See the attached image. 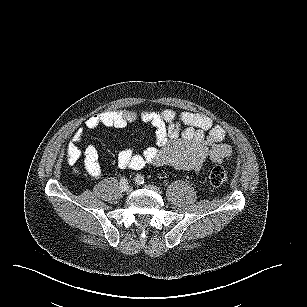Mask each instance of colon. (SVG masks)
I'll use <instances>...</instances> for the list:
<instances>
[{
    "label": "colon",
    "mask_w": 307,
    "mask_h": 307,
    "mask_svg": "<svg viewBox=\"0 0 307 307\" xmlns=\"http://www.w3.org/2000/svg\"><path fill=\"white\" fill-rule=\"evenodd\" d=\"M207 179L213 187H223L228 182V173L223 167L216 166L208 171Z\"/></svg>",
    "instance_id": "colon-1"
}]
</instances>
